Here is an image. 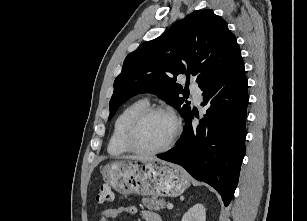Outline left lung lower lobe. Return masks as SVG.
Wrapping results in <instances>:
<instances>
[{
    "label": "left lung lower lobe",
    "instance_id": "1",
    "mask_svg": "<svg viewBox=\"0 0 307 221\" xmlns=\"http://www.w3.org/2000/svg\"><path fill=\"white\" fill-rule=\"evenodd\" d=\"M203 91L201 105L209 106L205 118L194 129L192 112L176 146L158 158L182 166L195 179L211 185L227 206L245 155L248 94L241 52Z\"/></svg>",
    "mask_w": 307,
    "mask_h": 221
}]
</instances>
